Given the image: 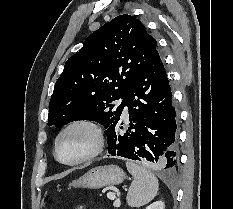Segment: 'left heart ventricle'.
Listing matches in <instances>:
<instances>
[{
	"instance_id": "obj_1",
	"label": "left heart ventricle",
	"mask_w": 233,
	"mask_h": 209,
	"mask_svg": "<svg viewBox=\"0 0 233 209\" xmlns=\"http://www.w3.org/2000/svg\"><path fill=\"white\" fill-rule=\"evenodd\" d=\"M93 145V133L85 127H76L61 138L58 155L64 161H73L88 153Z\"/></svg>"
}]
</instances>
